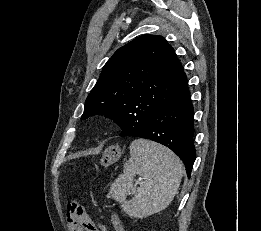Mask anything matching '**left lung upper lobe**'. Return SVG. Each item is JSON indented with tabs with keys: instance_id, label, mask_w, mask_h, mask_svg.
Listing matches in <instances>:
<instances>
[{
	"instance_id": "obj_1",
	"label": "left lung upper lobe",
	"mask_w": 261,
	"mask_h": 231,
	"mask_svg": "<svg viewBox=\"0 0 261 231\" xmlns=\"http://www.w3.org/2000/svg\"><path fill=\"white\" fill-rule=\"evenodd\" d=\"M186 86L173 48L161 36L144 35L118 49L104 65L82 119L101 114L122 131L143 129Z\"/></svg>"
}]
</instances>
